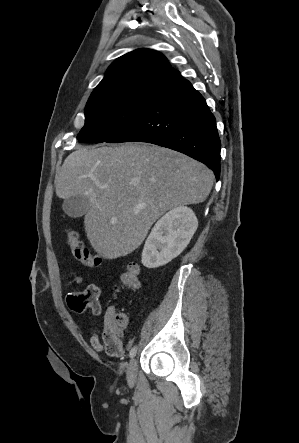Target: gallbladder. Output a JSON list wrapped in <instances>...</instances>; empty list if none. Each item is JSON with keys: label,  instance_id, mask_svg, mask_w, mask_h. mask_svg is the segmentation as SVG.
<instances>
[{"label": "gallbladder", "instance_id": "1", "mask_svg": "<svg viewBox=\"0 0 299 443\" xmlns=\"http://www.w3.org/2000/svg\"><path fill=\"white\" fill-rule=\"evenodd\" d=\"M63 211L71 218L82 217L90 208V199L88 196L78 194L64 200L62 204Z\"/></svg>", "mask_w": 299, "mask_h": 443}]
</instances>
